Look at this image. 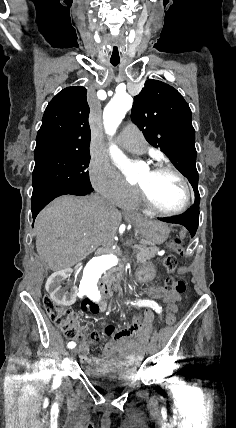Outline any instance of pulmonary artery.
<instances>
[{
  "label": "pulmonary artery",
  "instance_id": "obj_1",
  "mask_svg": "<svg viewBox=\"0 0 236 428\" xmlns=\"http://www.w3.org/2000/svg\"><path fill=\"white\" fill-rule=\"evenodd\" d=\"M121 146L129 151H139V152H143L145 151L146 146L144 145H138L136 143H132V142H124L121 144Z\"/></svg>",
  "mask_w": 236,
  "mask_h": 428
}]
</instances>
